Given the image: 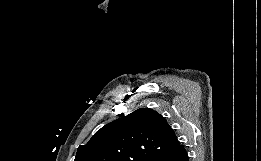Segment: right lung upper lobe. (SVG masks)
<instances>
[{
  "mask_svg": "<svg viewBox=\"0 0 261 161\" xmlns=\"http://www.w3.org/2000/svg\"><path fill=\"white\" fill-rule=\"evenodd\" d=\"M182 147L160 114L140 108L98 130L74 161H152Z\"/></svg>",
  "mask_w": 261,
  "mask_h": 161,
  "instance_id": "obj_1",
  "label": "right lung upper lobe"
}]
</instances>
